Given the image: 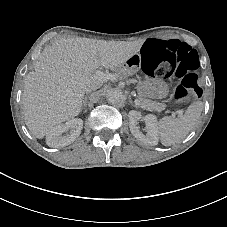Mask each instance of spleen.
<instances>
[{"label":"spleen","mask_w":227,"mask_h":227,"mask_svg":"<svg viewBox=\"0 0 227 227\" xmlns=\"http://www.w3.org/2000/svg\"><path fill=\"white\" fill-rule=\"evenodd\" d=\"M202 112L201 102H194L181 116H165L160 121L159 137L165 146L180 143L194 128Z\"/></svg>","instance_id":"1"}]
</instances>
